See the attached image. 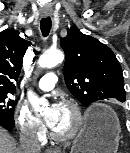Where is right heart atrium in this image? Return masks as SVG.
Returning <instances> with one entry per match:
<instances>
[{"mask_svg":"<svg viewBox=\"0 0 130 153\" xmlns=\"http://www.w3.org/2000/svg\"><path fill=\"white\" fill-rule=\"evenodd\" d=\"M14 122L21 136L42 141L45 135L43 122L35 117L25 105H18L14 113Z\"/></svg>","mask_w":130,"mask_h":153,"instance_id":"obj_1","label":"right heart atrium"}]
</instances>
